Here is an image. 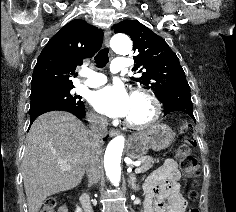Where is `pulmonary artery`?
<instances>
[{
	"instance_id": "obj_1",
	"label": "pulmonary artery",
	"mask_w": 236,
	"mask_h": 212,
	"mask_svg": "<svg viewBox=\"0 0 236 212\" xmlns=\"http://www.w3.org/2000/svg\"><path fill=\"white\" fill-rule=\"evenodd\" d=\"M125 67H126V60L124 58L119 57L113 61L111 65V71L119 72L123 70ZM85 77L86 78L82 83L87 87H92V88L99 87L106 82L105 75L90 70L85 72Z\"/></svg>"
}]
</instances>
